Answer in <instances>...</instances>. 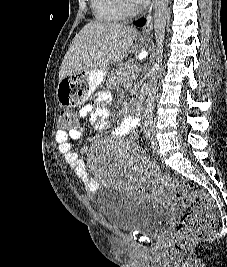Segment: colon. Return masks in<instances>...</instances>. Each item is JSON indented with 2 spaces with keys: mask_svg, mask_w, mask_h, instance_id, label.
Instances as JSON below:
<instances>
[{
  "mask_svg": "<svg viewBox=\"0 0 227 267\" xmlns=\"http://www.w3.org/2000/svg\"><path fill=\"white\" fill-rule=\"evenodd\" d=\"M59 130H70L74 118L72 110L60 111ZM105 117V116H104ZM174 196L189 205L190 208L181 215L173 234V245L176 251L194 241L199 235L213 228L215 217L209 196L202 190L193 188L188 182L180 178H166Z\"/></svg>",
  "mask_w": 227,
  "mask_h": 267,
  "instance_id": "obj_1",
  "label": "colon"
}]
</instances>
